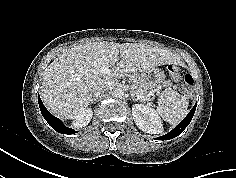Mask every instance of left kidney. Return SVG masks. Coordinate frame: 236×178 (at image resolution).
<instances>
[{"instance_id": "left-kidney-1", "label": "left kidney", "mask_w": 236, "mask_h": 178, "mask_svg": "<svg viewBox=\"0 0 236 178\" xmlns=\"http://www.w3.org/2000/svg\"><path fill=\"white\" fill-rule=\"evenodd\" d=\"M132 115L138 128L149 134H160L163 132V125L159 115L149 105L134 104Z\"/></svg>"}]
</instances>
